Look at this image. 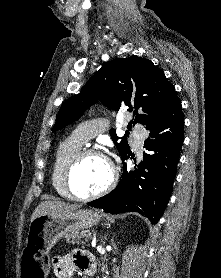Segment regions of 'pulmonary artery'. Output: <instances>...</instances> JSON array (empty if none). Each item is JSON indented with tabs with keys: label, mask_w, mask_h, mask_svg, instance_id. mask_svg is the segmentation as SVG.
Returning a JSON list of instances; mask_svg holds the SVG:
<instances>
[{
	"label": "pulmonary artery",
	"mask_w": 221,
	"mask_h": 278,
	"mask_svg": "<svg viewBox=\"0 0 221 278\" xmlns=\"http://www.w3.org/2000/svg\"><path fill=\"white\" fill-rule=\"evenodd\" d=\"M103 131L102 122H89L81 124L73 132L72 136L82 143H86L95 135ZM144 130L137 129L134 134V142L137 148H140L144 141Z\"/></svg>",
	"instance_id": "e3ab8cb5"
}]
</instances>
